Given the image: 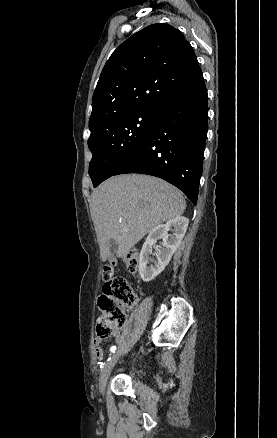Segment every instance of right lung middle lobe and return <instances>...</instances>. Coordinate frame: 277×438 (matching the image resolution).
<instances>
[{
  "label": "right lung middle lobe",
  "mask_w": 277,
  "mask_h": 438,
  "mask_svg": "<svg viewBox=\"0 0 277 438\" xmlns=\"http://www.w3.org/2000/svg\"><path fill=\"white\" fill-rule=\"evenodd\" d=\"M158 108L104 119L89 127L92 152L89 175L93 186L111 177L145 139Z\"/></svg>",
  "instance_id": "1"
}]
</instances>
